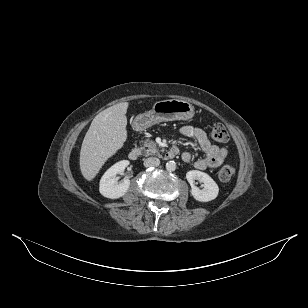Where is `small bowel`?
Masks as SVG:
<instances>
[{"label": "small bowel", "mask_w": 308, "mask_h": 308, "mask_svg": "<svg viewBox=\"0 0 308 308\" xmlns=\"http://www.w3.org/2000/svg\"><path fill=\"white\" fill-rule=\"evenodd\" d=\"M180 132L183 136L196 140L201 150L205 153L204 157L194 162V167L196 169L205 170L207 168H216L221 165L227 157V149L212 144L203 129L185 125L181 127ZM191 159L192 156L189 152L182 154V160L184 162L188 163Z\"/></svg>", "instance_id": "small-bowel-1"}]
</instances>
